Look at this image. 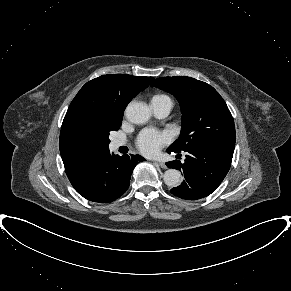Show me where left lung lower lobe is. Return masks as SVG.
Instances as JSON below:
<instances>
[{"instance_id": "obj_1", "label": "left lung lower lobe", "mask_w": 291, "mask_h": 291, "mask_svg": "<svg viewBox=\"0 0 291 291\" xmlns=\"http://www.w3.org/2000/svg\"><path fill=\"white\" fill-rule=\"evenodd\" d=\"M235 143H210L191 147L186 152L184 163L178 160L167 162L169 168L183 172L185 180L170 192L186 200H197L210 195L228 173ZM168 153L170 151L167 149Z\"/></svg>"}]
</instances>
